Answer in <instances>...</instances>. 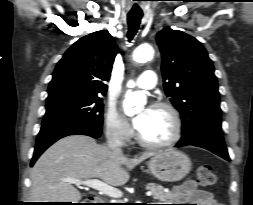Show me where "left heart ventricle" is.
I'll return each mask as SVG.
<instances>
[{
	"instance_id": "1",
	"label": "left heart ventricle",
	"mask_w": 253,
	"mask_h": 205,
	"mask_svg": "<svg viewBox=\"0 0 253 205\" xmlns=\"http://www.w3.org/2000/svg\"><path fill=\"white\" fill-rule=\"evenodd\" d=\"M138 132L150 142L165 141L173 133L171 117L165 110L152 108L145 124Z\"/></svg>"
}]
</instances>
